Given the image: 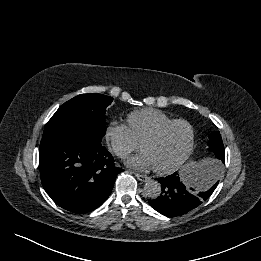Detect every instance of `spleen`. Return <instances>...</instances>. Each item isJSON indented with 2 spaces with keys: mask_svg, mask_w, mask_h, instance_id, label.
Instances as JSON below:
<instances>
[{
  "mask_svg": "<svg viewBox=\"0 0 261 261\" xmlns=\"http://www.w3.org/2000/svg\"><path fill=\"white\" fill-rule=\"evenodd\" d=\"M200 164L195 165H187L182 171H181V177L183 182L188 187H194L197 184V175L199 173V170L201 169Z\"/></svg>",
  "mask_w": 261,
  "mask_h": 261,
  "instance_id": "spleen-1",
  "label": "spleen"
}]
</instances>
